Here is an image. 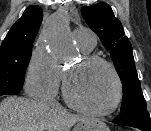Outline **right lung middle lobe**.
<instances>
[{
    "mask_svg": "<svg viewBox=\"0 0 151 131\" xmlns=\"http://www.w3.org/2000/svg\"><path fill=\"white\" fill-rule=\"evenodd\" d=\"M31 54L32 45H1L0 96L15 95L21 91Z\"/></svg>",
    "mask_w": 151,
    "mask_h": 131,
    "instance_id": "right-lung-middle-lobe-1",
    "label": "right lung middle lobe"
}]
</instances>
